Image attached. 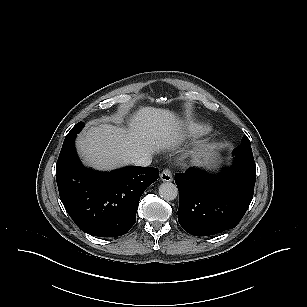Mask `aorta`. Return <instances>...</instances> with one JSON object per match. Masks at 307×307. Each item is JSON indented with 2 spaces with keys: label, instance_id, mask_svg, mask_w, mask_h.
Instances as JSON below:
<instances>
[{
  "label": "aorta",
  "instance_id": "aorta-1",
  "mask_svg": "<svg viewBox=\"0 0 307 307\" xmlns=\"http://www.w3.org/2000/svg\"><path fill=\"white\" fill-rule=\"evenodd\" d=\"M159 196L166 201H172L178 196V188L171 182H164L159 186Z\"/></svg>",
  "mask_w": 307,
  "mask_h": 307
}]
</instances>
